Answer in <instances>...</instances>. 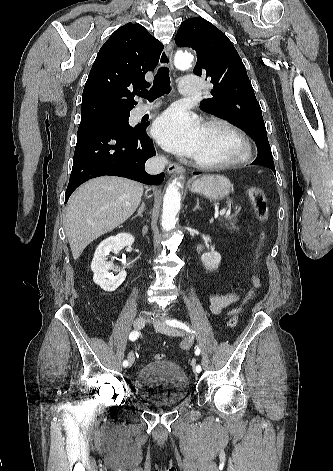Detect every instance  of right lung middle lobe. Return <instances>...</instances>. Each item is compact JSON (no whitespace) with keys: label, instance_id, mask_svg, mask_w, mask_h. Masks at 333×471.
Here are the masks:
<instances>
[{"label":"right lung middle lobe","instance_id":"1","mask_svg":"<svg viewBox=\"0 0 333 471\" xmlns=\"http://www.w3.org/2000/svg\"><path fill=\"white\" fill-rule=\"evenodd\" d=\"M130 111L128 112H119V113H113L93 119H88V120H81L80 125H87V124H93V123H99V122H116L119 124L123 125H129L128 119H129Z\"/></svg>","mask_w":333,"mask_h":471}]
</instances>
